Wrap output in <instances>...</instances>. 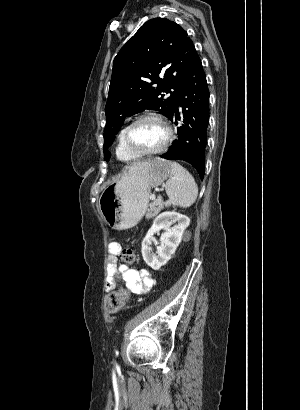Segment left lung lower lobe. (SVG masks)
I'll use <instances>...</instances> for the list:
<instances>
[{
    "label": "left lung lower lobe",
    "mask_w": 300,
    "mask_h": 410,
    "mask_svg": "<svg viewBox=\"0 0 300 410\" xmlns=\"http://www.w3.org/2000/svg\"><path fill=\"white\" fill-rule=\"evenodd\" d=\"M178 106L182 107V113L178 112ZM169 119L175 120V124L182 120L183 124L177 127V138L169 150L160 157L190 163L203 179L209 124V90L199 56L195 58L178 88Z\"/></svg>",
    "instance_id": "1"
}]
</instances>
